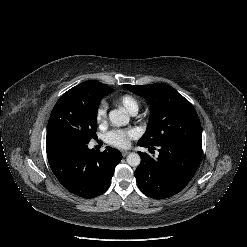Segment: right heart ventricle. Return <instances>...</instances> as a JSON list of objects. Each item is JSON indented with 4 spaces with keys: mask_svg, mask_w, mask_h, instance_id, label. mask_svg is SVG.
Returning a JSON list of instances; mask_svg holds the SVG:
<instances>
[{
    "mask_svg": "<svg viewBox=\"0 0 247 247\" xmlns=\"http://www.w3.org/2000/svg\"><path fill=\"white\" fill-rule=\"evenodd\" d=\"M119 102L129 111L138 110L139 103L137 99L129 94H124L119 97Z\"/></svg>",
    "mask_w": 247,
    "mask_h": 247,
    "instance_id": "e07e8e85",
    "label": "right heart ventricle"
}]
</instances>
